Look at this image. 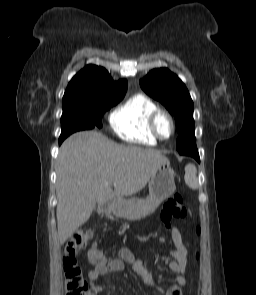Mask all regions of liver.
Listing matches in <instances>:
<instances>
[{
  "instance_id": "6515ba94",
  "label": "liver",
  "mask_w": 256,
  "mask_h": 295,
  "mask_svg": "<svg viewBox=\"0 0 256 295\" xmlns=\"http://www.w3.org/2000/svg\"><path fill=\"white\" fill-rule=\"evenodd\" d=\"M167 160L158 150L117 144L97 131L77 132L67 138L56 167L60 244L89 220L96 204L112 198L124 202V196L142 190Z\"/></svg>"
}]
</instances>
